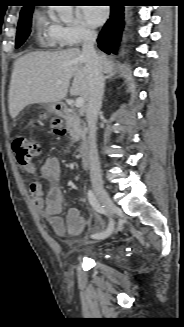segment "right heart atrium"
<instances>
[{"instance_id":"d8ad5b80","label":"right heart atrium","mask_w":184,"mask_h":327,"mask_svg":"<svg viewBox=\"0 0 184 327\" xmlns=\"http://www.w3.org/2000/svg\"><path fill=\"white\" fill-rule=\"evenodd\" d=\"M94 30L80 19H75L59 27L58 39L63 46H78L94 35Z\"/></svg>"}]
</instances>
